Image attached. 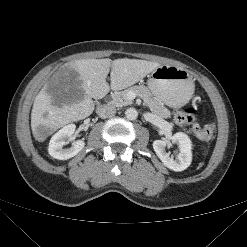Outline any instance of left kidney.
<instances>
[{"label":"left kidney","instance_id":"5707ae66","mask_svg":"<svg viewBox=\"0 0 247 247\" xmlns=\"http://www.w3.org/2000/svg\"><path fill=\"white\" fill-rule=\"evenodd\" d=\"M178 145L179 153L175 159L166 151V147L171 146L172 143ZM169 140H155L153 142V149L163 164L176 172L185 170L192 161V144L190 138L182 132H178Z\"/></svg>","mask_w":247,"mask_h":247}]
</instances>
